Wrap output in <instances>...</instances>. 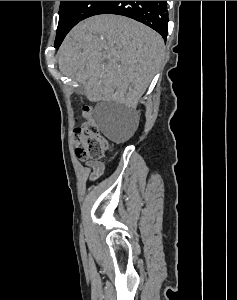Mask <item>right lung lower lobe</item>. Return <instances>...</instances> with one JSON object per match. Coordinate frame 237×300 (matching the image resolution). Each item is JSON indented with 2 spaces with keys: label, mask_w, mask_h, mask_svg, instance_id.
<instances>
[{
  "label": "right lung lower lobe",
  "mask_w": 237,
  "mask_h": 300,
  "mask_svg": "<svg viewBox=\"0 0 237 300\" xmlns=\"http://www.w3.org/2000/svg\"><path fill=\"white\" fill-rule=\"evenodd\" d=\"M130 17L156 30L166 40L168 11L166 1H108L97 13Z\"/></svg>",
  "instance_id": "1"
}]
</instances>
